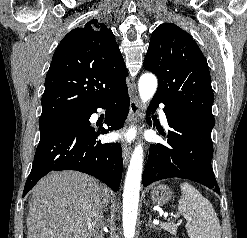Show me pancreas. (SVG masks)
Instances as JSON below:
<instances>
[{
    "label": "pancreas",
    "mask_w": 247,
    "mask_h": 238,
    "mask_svg": "<svg viewBox=\"0 0 247 238\" xmlns=\"http://www.w3.org/2000/svg\"><path fill=\"white\" fill-rule=\"evenodd\" d=\"M160 228L166 230L172 235H176L177 225L174 222L161 223Z\"/></svg>",
    "instance_id": "obj_1"
}]
</instances>
